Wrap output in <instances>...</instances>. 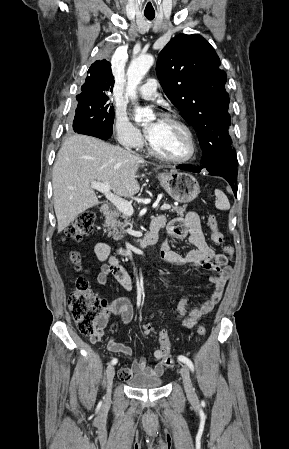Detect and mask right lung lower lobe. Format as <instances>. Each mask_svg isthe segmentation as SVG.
I'll return each instance as SVG.
<instances>
[{"instance_id": "obj_1", "label": "right lung lower lobe", "mask_w": 289, "mask_h": 449, "mask_svg": "<svg viewBox=\"0 0 289 449\" xmlns=\"http://www.w3.org/2000/svg\"><path fill=\"white\" fill-rule=\"evenodd\" d=\"M79 134L90 135V136L98 137L103 140H106L111 136V135H106L104 133L96 132V131H94L92 129H88V128H84L83 130L79 131Z\"/></svg>"}]
</instances>
